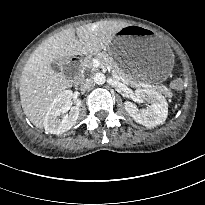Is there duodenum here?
Listing matches in <instances>:
<instances>
[{"label":"duodenum","instance_id":"1","mask_svg":"<svg viewBox=\"0 0 205 205\" xmlns=\"http://www.w3.org/2000/svg\"><path fill=\"white\" fill-rule=\"evenodd\" d=\"M73 65L75 66L77 71V79L80 80L81 79L80 64L77 60H73Z\"/></svg>","mask_w":205,"mask_h":205}]
</instances>
